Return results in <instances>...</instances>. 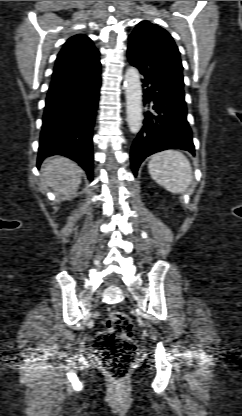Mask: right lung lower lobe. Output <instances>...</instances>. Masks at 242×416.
<instances>
[{
	"mask_svg": "<svg viewBox=\"0 0 242 416\" xmlns=\"http://www.w3.org/2000/svg\"><path fill=\"white\" fill-rule=\"evenodd\" d=\"M101 85L100 69L85 77L52 83L46 98L37 166L48 156L76 161L93 179L92 130Z\"/></svg>",
	"mask_w": 242,
	"mask_h": 416,
	"instance_id": "1",
	"label": "right lung lower lobe"
}]
</instances>
